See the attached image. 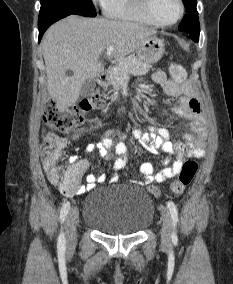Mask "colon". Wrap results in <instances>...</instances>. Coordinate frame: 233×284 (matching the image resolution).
I'll return each mask as SVG.
<instances>
[{
  "instance_id": "colon-1",
  "label": "colon",
  "mask_w": 233,
  "mask_h": 284,
  "mask_svg": "<svg viewBox=\"0 0 233 284\" xmlns=\"http://www.w3.org/2000/svg\"><path fill=\"white\" fill-rule=\"evenodd\" d=\"M169 71L174 81L183 82L186 78V71L180 64H170ZM103 105L104 100L99 95L88 97L67 110H60L54 101H50L46 105L44 118L50 130L43 138L41 147L42 161L55 170L57 186L66 195H73L77 192L80 187L81 176L58 168L57 161L65 144V140L60 134L83 125L86 122L87 115ZM197 170L198 164L194 160L185 161L177 179L170 186L171 192L175 195L182 194L192 182ZM148 191L154 198L160 197L158 187L151 185L148 187Z\"/></svg>"
}]
</instances>
